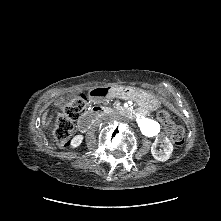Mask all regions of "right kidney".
Segmentation results:
<instances>
[{"label":"right kidney","mask_w":221,"mask_h":221,"mask_svg":"<svg viewBox=\"0 0 221 221\" xmlns=\"http://www.w3.org/2000/svg\"><path fill=\"white\" fill-rule=\"evenodd\" d=\"M83 141V135H76L71 141V147L76 148L80 146Z\"/></svg>","instance_id":"right-kidney-1"}]
</instances>
